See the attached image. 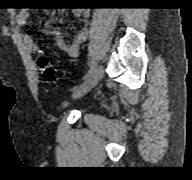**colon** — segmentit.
<instances>
[{
    "label": "colon",
    "mask_w": 192,
    "mask_h": 180,
    "mask_svg": "<svg viewBox=\"0 0 192 180\" xmlns=\"http://www.w3.org/2000/svg\"><path fill=\"white\" fill-rule=\"evenodd\" d=\"M37 65L42 75V78L46 83L53 84L56 82L57 80L56 71L44 56L39 57Z\"/></svg>",
    "instance_id": "colon-1"
}]
</instances>
